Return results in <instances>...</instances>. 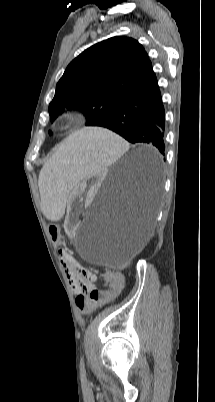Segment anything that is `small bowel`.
<instances>
[{
  "label": "small bowel",
  "instance_id": "obj_1",
  "mask_svg": "<svg viewBox=\"0 0 215 402\" xmlns=\"http://www.w3.org/2000/svg\"><path fill=\"white\" fill-rule=\"evenodd\" d=\"M60 254L62 257H65L64 252H61ZM69 279L71 281L74 293L78 296H85V294H87L91 289L94 288V281L96 278L93 274L87 278H84L72 272H69Z\"/></svg>",
  "mask_w": 215,
  "mask_h": 402
}]
</instances>
